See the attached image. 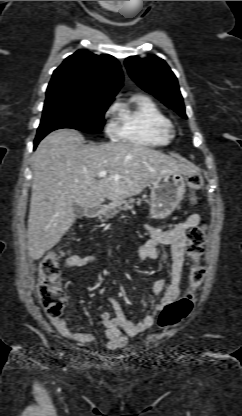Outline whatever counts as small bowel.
I'll list each match as a JSON object with an SVG mask.
<instances>
[{"instance_id":"c3829d8e","label":"small bowel","mask_w":242,"mask_h":416,"mask_svg":"<svg viewBox=\"0 0 242 416\" xmlns=\"http://www.w3.org/2000/svg\"><path fill=\"white\" fill-rule=\"evenodd\" d=\"M200 220L199 214L192 213L168 231H162L149 224L145 225L149 239L137 249V258L139 260L157 258V247L159 245H169L172 252L170 280L167 282L165 278H159L154 282L152 294L154 296L161 294V297L153 304L151 312L137 323L127 320L120 303L114 297L109 298L114 315L109 312H104L101 315V322L108 340L106 347L109 350L123 348L127 344L125 334L133 337L151 328L162 309L178 298L181 291L180 284L184 266L186 234L190 228L198 225ZM97 262L98 258L96 256L71 255L65 260V266L67 268H81L96 264ZM51 321L56 329L67 339L80 344H89L95 341V336L91 333L72 330L63 317H51Z\"/></svg>"}]
</instances>
